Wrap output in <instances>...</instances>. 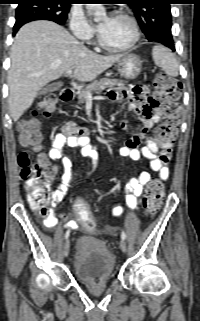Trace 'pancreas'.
<instances>
[{
    "label": "pancreas",
    "instance_id": "cf45deb5",
    "mask_svg": "<svg viewBox=\"0 0 200 321\" xmlns=\"http://www.w3.org/2000/svg\"><path fill=\"white\" fill-rule=\"evenodd\" d=\"M123 87L124 81L119 79H109V78H102L100 80H96L89 84L85 89L78 92V100L79 104L85 103L87 100V95L91 94L92 92L99 91L103 89L104 87Z\"/></svg>",
    "mask_w": 200,
    "mask_h": 321
}]
</instances>
